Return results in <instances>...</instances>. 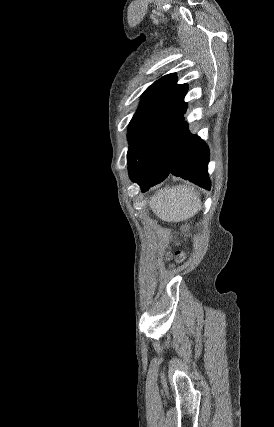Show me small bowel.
I'll use <instances>...</instances> for the list:
<instances>
[{
	"mask_svg": "<svg viewBox=\"0 0 274 427\" xmlns=\"http://www.w3.org/2000/svg\"><path fill=\"white\" fill-rule=\"evenodd\" d=\"M170 254H171V255H173V256H175V257L182 256V255H183V250H182V249H179L178 251H170ZM161 267H162V268H165V267H166V264H165V263H162V264H161Z\"/></svg>",
	"mask_w": 274,
	"mask_h": 427,
	"instance_id": "small-bowel-1",
	"label": "small bowel"
}]
</instances>
